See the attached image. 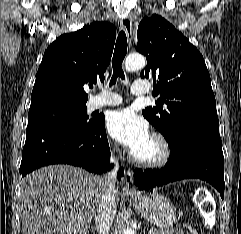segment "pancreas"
<instances>
[{"label":"pancreas","mask_w":241,"mask_h":234,"mask_svg":"<svg viewBox=\"0 0 241 234\" xmlns=\"http://www.w3.org/2000/svg\"><path fill=\"white\" fill-rule=\"evenodd\" d=\"M153 234H184L182 230L168 229H154Z\"/></svg>","instance_id":"pancreas-1"}]
</instances>
